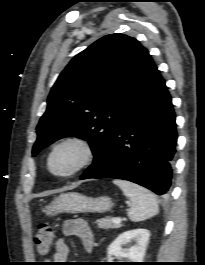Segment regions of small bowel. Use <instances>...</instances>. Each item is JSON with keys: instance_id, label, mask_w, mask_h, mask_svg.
Returning <instances> with one entry per match:
<instances>
[{"instance_id": "c3829d8e", "label": "small bowel", "mask_w": 205, "mask_h": 265, "mask_svg": "<svg viewBox=\"0 0 205 265\" xmlns=\"http://www.w3.org/2000/svg\"><path fill=\"white\" fill-rule=\"evenodd\" d=\"M63 234L66 237L76 236L81 239L84 250L91 252L94 247V236L88 223L83 219H69L63 224ZM70 248L64 238L57 240L55 245V253L49 259L52 263H63L68 257Z\"/></svg>"}]
</instances>
